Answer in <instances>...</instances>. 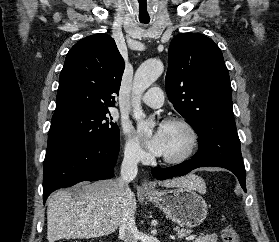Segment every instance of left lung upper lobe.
Wrapping results in <instances>:
<instances>
[{
    "mask_svg": "<svg viewBox=\"0 0 279 242\" xmlns=\"http://www.w3.org/2000/svg\"><path fill=\"white\" fill-rule=\"evenodd\" d=\"M165 85L170 102L199 136V151L193 159L244 167L229 73L220 48L204 35L175 36L169 47Z\"/></svg>",
    "mask_w": 279,
    "mask_h": 242,
    "instance_id": "obj_1",
    "label": "left lung upper lobe"
}]
</instances>
